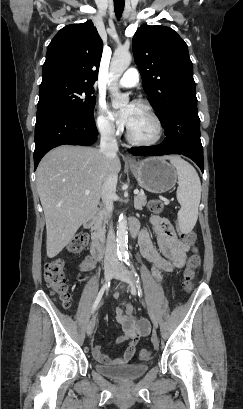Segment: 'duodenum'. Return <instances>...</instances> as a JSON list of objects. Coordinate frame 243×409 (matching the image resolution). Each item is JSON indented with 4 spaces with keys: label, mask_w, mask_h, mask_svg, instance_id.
Returning a JSON list of instances; mask_svg holds the SVG:
<instances>
[{
    "label": "duodenum",
    "mask_w": 243,
    "mask_h": 409,
    "mask_svg": "<svg viewBox=\"0 0 243 409\" xmlns=\"http://www.w3.org/2000/svg\"><path fill=\"white\" fill-rule=\"evenodd\" d=\"M100 216V212L97 209H94L88 220L87 223L88 224H95ZM134 236L137 235L136 232H133ZM90 252L92 254V256L96 259H101L103 257L104 254V244L101 241V237H100V233L99 231L95 228L92 232V242L90 245Z\"/></svg>",
    "instance_id": "obj_1"
}]
</instances>
